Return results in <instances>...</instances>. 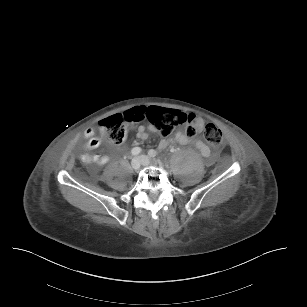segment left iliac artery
I'll return each instance as SVG.
<instances>
[{
    "instance_id": "1",
    "label": "left iliac artery",
    "mask_w": 307,
    "mask_h": 307,
    "mask_svg": "<svg viewBox=\"0 0 307 307\" xmlns=\"http://www.w3.org/2000/svg\"><path fill=\"white\" fill-rule=\"evenodd\" d=\"M149 156H150V157H155V156H156V151L153 150V149L150 150V151H149Z\"/></svg>"
}]
</instances>
